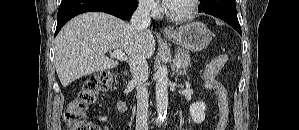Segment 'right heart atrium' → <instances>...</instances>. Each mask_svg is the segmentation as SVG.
Returning <instances> with one entry per match:
<instances>
[{"instance_id":"1","label":"right heart atrium","mask_w":299,"mask_h":130,"mask_svg":"<svg viewBox=\"0 0 299 130\" xmlns=\"http://www.w3.org/2000/svg\"><path fill=\"white\" fill-rule=\"evenodd\" d=\"M139 5L141 10L150 15H156L160 10L158 3L153 0H141Z\"/></svg>"}]
</instances>
